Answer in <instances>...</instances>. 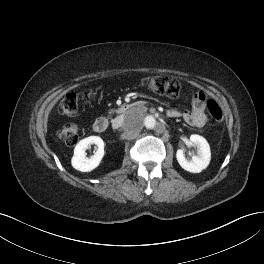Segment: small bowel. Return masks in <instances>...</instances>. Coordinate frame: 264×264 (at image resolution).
<instances>
[{
	"label": "small bowel",
	"mask_w": 264,
	"mask_h": 264,
	"mask_svg": "<svg viewBox=\"0 0 264 264\" xmlns=\"http://www.w3.org/2000/svg\"><path fill=\"white\" fill-rule=\"evenodd\" d=\"M169 116L181 117L187 124L194 127H203L207 123L205 114V96L202 93H196L193 98L192 109L190 111L180 112L171 110Z\"/></svg>",
	"instance_id": "small-bowel-1"
}]
</instances>
